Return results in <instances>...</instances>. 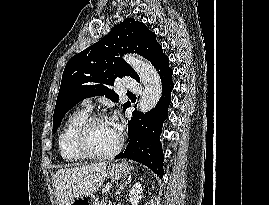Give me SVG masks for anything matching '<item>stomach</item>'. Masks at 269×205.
<instances>
[{
    "label": "stomach",
    "instance_id": "0dacf381",
    "mask_svg": "<svg viewBox=\"0 0 269 205\" xmlns=\"http://www.w3.org/2000/svg\"><path fill=\"white\" fill-rule=\"evenodd\" d=\"M131 170L132 167L128 162L112 164L108 166L106 176L112 181H118L129 175ZM70 205H95V203L89 195H85L74 199Z\"/></svg>",
    "mask_w": 269,
    "mask_h": 205
}]
</instances>
